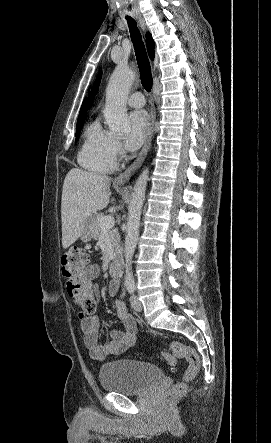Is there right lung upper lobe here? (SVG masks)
Segmentation results:
<instances>
[{"label":"right lung upper lobe","mask_w":271,"mask_h":443,"mask_svg":"<svg viewBox=\"0 0 271 443\" xmlns=\"http://www.w3.org/2000/svg\"><path fill=\"white\" fill-rule=\"evenodd\" d=\"M146 44H147L149 56L153 60L155 44H154V41H153L150 33L146 34ZM85 115H86V98L84 99L83 104L81 106L78 120L85 119Z\"/></svg>","instance_id":"right-lung-upper-lobe-1"}]
</instances>
